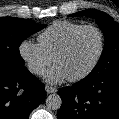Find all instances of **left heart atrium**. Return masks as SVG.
<instances>
[{
	"label": "left heart atrium",
	"mask_w": 119,
	"mask_h": 119,
	"mask_svg": "<svg viewBox=\"0 0 119 119\" xmlns=\"http://www.w3.org/2000/svg\"><path fill=\"white\" fill-rule=\"evenodd\" d=\"M67 79V76L59 68L57 65L53 66L47 73H46V80L50 83H59L63 80Z\"/></svg>",
	"instance_id": "39dd6f15"
}]
</instances>
